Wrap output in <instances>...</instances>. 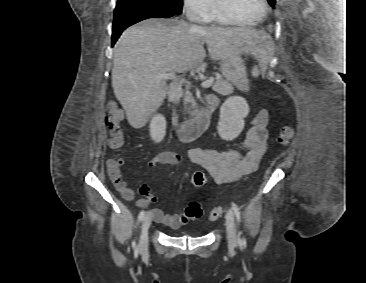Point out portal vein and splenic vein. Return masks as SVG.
<instances>
[{
    "mask_svg": "<svg viewBox=\"0 0 366 283\" xmlns=\"http://www.w3.org/2000/svg\"><path fill=\"white\" fill-rule=\"evenodd\" d=\"M160 78L161 79H170V80H173V81H177L178 80V76H176L174 73H169V74H162L160 75ZM214 82V78L213 77H210L209 79L203 81L201 83V86L202 87H210ZM184 83L187 84V87H189L191 85L190 82L188 81H184Z\"/></svg>",
    "mask_w": 366,
    "mask_h": 283,
    "instance_id": "portal-vein-and-splenic-vein-1",
    "label": "portal vein and splenic vein"
}]
</instances>
